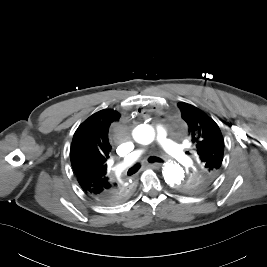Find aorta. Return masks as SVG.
<instances>
[{
    "label": "aorta",
    "mask_w": 267,
    "mask_h": 267,
    "mask_svg": "<svg viewBox=\"0 0 267 267\" xmlns=\"http://www.w3.org/2000/svg\"><path fill=\"white\" fill-rule=\"evenodd\" d=\"M134 139L140 144H150L155 138L154 129L150 125L141 124L133 130ZM165 182L171 187H178L184 179V170L177 163H166L162 169Z\"/></svg>",
    "instance_id": "aorta-1"
}]
</instances>
